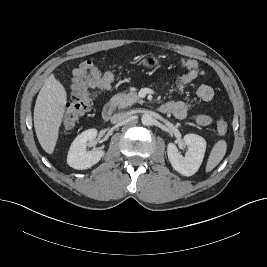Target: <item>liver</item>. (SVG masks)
Wrapping results in <instances>:
<instances>
[{
    "instance_id": "liver-1",
    "label": "liver",
    "mask_w": 267,
    "mask_h": 267,
    "mask_svg": "<svg viewBox=\"0 0 267 267\" xmlns=\"http://www.w3.org/2000/svg\"><path fill=\"white\" fill-rule=\"evenodd\" d=\"M67 93L63 85L51 74L44 82L35 103L34 127L43 150L54 152L61 126Z\"/></svg>"
}]
</instances>
